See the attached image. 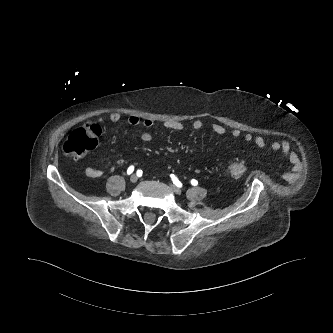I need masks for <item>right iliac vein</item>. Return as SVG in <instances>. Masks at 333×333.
Masks as SVG:
<instances>
[{
  "instance_id": "obj_1",
  "label": "right iliac vein",
  "mask_w": 333,
  "mask_h": 333,
  "mask_svg": "<svg viewBox=\"0 0 333 333\" xmlns=\"http://www.w3.org/2000/svg\"><path fill=\"white\" fill-rule=\"evenodd\" d=\"M137 180H138V177H137V175H135V174H133V175L130 177V181H131L132 183H136Z\"/></svg>"
}]
</instances>
